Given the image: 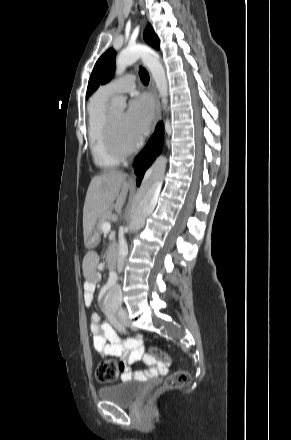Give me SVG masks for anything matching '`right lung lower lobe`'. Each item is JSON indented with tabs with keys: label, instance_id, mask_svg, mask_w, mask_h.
Here are the masks:
<instances>
[{
	"label": "right lung lower lobe",
	"instance_id": "1",
	"mask_svg": "<svg viewBox=\"0 0 291 440\" xmlns=\"http://www.w3.org/2000/svg\"><path fill=\"white\" fill-rule=\"evenodd\" d=\"M163 124L159 123L155 133L147 143L145 149L137 156L135 161V170L138 176L137 184L140 185L147 168L153 163L155 158L161 153L163 148Z\"/></svg>",
	"mask_w": 291,
	"mask_h": 440
}]
</instances>
